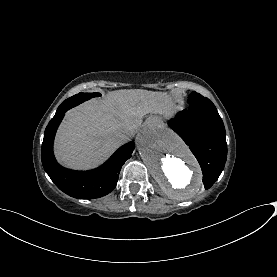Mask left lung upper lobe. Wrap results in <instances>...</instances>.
Wrapping results in <instances>:
<instances>
[{
  "instance_id": "left-lung-upper-lobe-1",
  "label": "left lung upper lobe",
  "mask_w": 277,
  "mask_h": 277,
  "mask_svg": "<svg viewBox=\"0 0 277 277\" xmlns=\"http://www.w3.org/2000/svg\"><path fill=\"white\" fill-rule=\"evenodd\" d=\"M188 104L189 108L185 111L218 114V111L214 104L208 98L203 97L199 93L192 92L188 97Z\"/></svg>"
}]
</instances>
